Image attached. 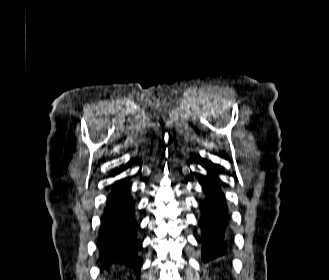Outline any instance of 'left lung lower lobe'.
Returning <instances> with one entry per match:
<instances>
[{
    "label": "left lung lower lobe",
    "mask_w": 329,
    "mask_h": 280,
    "mask_svg": "<svg viewBox=\"0 0 329 280\" xmlns=\"http://www.w3.org/2000/svg\"><path fill=\"white\" fill-rule=\"evenodd\" d=\"M208 170V183L203 187L205 200L200 204L202 216L199 225L202 230L203 260L209 261L226 253L225 228L228 214L224 195L217 185L218 178L213 166H205Z\"/></svg>",
    "instance_id": "left-lung-lower-lobe-1"
}]
</instances>
